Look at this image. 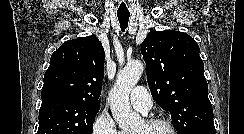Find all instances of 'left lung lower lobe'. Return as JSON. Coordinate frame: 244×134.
I'll return each instance as SVG.
<instances>
[{
    "label": "left lung lower lobe",
    "instance_id": "0a47b994",
    "mask_svg": "<svg viewBox=\"0 0 244 134\" xmlns=\"http://www.w3.org/2000/svg\"><path fill=\"white\" fill-rule=\"evenodd\" d=\"M201 134H216V132H203Z\"/></svg>",
    "mask_w": 244,
    "mask_h": 134
}]
</instances>
